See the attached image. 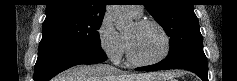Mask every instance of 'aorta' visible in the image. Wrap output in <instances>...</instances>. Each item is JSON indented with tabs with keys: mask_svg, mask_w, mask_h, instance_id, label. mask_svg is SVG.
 <instances>
[{
	"mask_svg": "<svg viewBox=\"0 0 237 81\" xmlns=\"http://www.w3.org/2000/svg\"><path fill=\"white\" fill-rule=\"evenodd\" d=\"M107 13L119 31L129 28L133 23L132 16L128 13L125 5H108Z\"/></svg>",
	"mask_w": 237,
	"mask_h": 81,
	"instance_id": "1",
	"label": "aorta"
}]
</instances>
